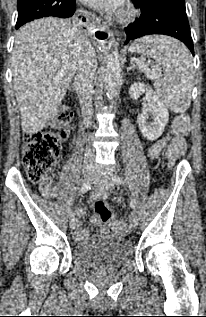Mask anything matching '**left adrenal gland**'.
I'll return each instance as SVG.
<instances>
[{"label":"left adrenal gland","instance_id":"obj_1","mask_svg":"<svg viewBox=\"0 0 206 317\" xmlns=\"http://www.w3.org/2000/svg\"><path fill=\"white\" fill-rule=\"evenodd\" d=\"M135 67H136L135 64H132L130 67L127 68V71H130V70L134 69Z\"/></svg>","mask_w":206,"mask_h":317}]
</instances>
